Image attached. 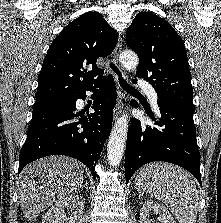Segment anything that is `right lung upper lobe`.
I'll return each instance as SVG.
<instances>
[{"mask_svg": "<svg viewBox=\"0 0 221 223\" xmlns=\"http://www.w3.org/2000/svg\"><path fill=\"white\" fill-rule=\"evenodd\" d=\"M117 40L115 30L98 12L84 13L68 24L43 61L35 106L67 100L98 83L103 76L96 61L108 56Z\"/></svg>", "mask_w": 221, "mask_h": 223, "instance_id": "obj_1", "label": "right lung upper lobe"}]
</instances>
